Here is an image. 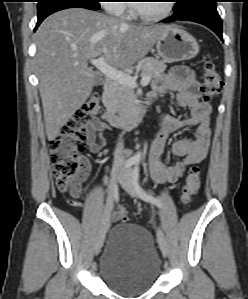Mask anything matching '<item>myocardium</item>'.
I'll return each instance as SVG.
<instances>
[{
    "label": "myocardium",
    "instance_id": "1",
    "mask_svg": "<svg viewBox=\"0 0 248 299\" xmlns=\"http://www.w3.org/2000/svg\"><path fill=\"white\" fill-rule=\"evenodd\" d=\"M174 7L172 0H165L164 8L159 13L146 14L138 9V5L133 6V13L143 21L158 22L168 18L173 13Z\"/></svg>",
    "mask_w": 248,
    "mask_h": 299
}]
</instances>
